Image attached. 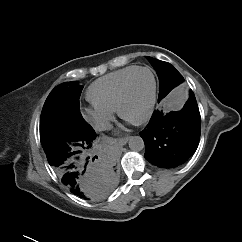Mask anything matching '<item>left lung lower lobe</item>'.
Segmentation results:
<instances>
[{
  "instance_id": "0a47b994",
  "label": "left lung lower lobe",
  "mask_w": 242,
  "mask_h": 242,
  "mask_svg": "<svg viewBox=\"0 0 242 242\" xmlns=\"http://www.w3.org/2000/svg\"><path fill=\"white\" fill-rule=\"evenodd\" d=\"M201 132V117L193 92L180 111L164 115L156 111L139 134L145 143L144 157L161 168L185 163L196 151Z\"/></svg>"
}]
</instances>
